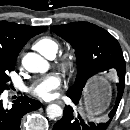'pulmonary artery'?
<instances>
[{
  "instance_id": "pulmonary-artery-1",
  "label": "pulmonary artery",
  "mask_w": 130,
  "mask_h": 130,
  "mask_svg": "<svg viewBox=\"0 0 130 130\" xmlns=\"http://www.w3.org/2000/svg\"><path fill=\"white\" fill-rule=\"evenodd\" d=\"M50 59L54 58V56L49 57Z\"/></svg>"
}]
</instances>
